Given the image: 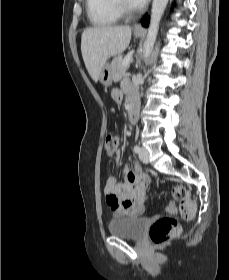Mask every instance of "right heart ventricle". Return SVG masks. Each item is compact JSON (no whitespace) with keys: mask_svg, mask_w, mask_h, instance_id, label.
Masks as SVG:
<instances>
[{"mask_svg":"<svg viewBox=\"0 0 229 280\" xmlns=\"http://www.w3.org/2000/svg\"><path fill=\"white\" fill-rule=\"evenodd\" d=\"M86 13L90 24L98 28L112 27L120 18L113 0H86Z\"/></svg>","mask_w":229,"mask_h":280,"instance_id":"1","label":"right heart ventricle"}]
</instances>
